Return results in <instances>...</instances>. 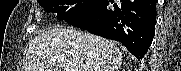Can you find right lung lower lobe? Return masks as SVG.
<instances>
[{"label": "right lung lower lobe", "instance_id": "98d812e1", "mask_svg": "<svg viewBox=\"0 0 181 71\" xmlns=\"http://www.w3.org/2000/svg\"><path fill=\"white\" fill-rule=\"evenodd\" d=\"M158 0H96L87 10L65 19L90 33L120 41L140 60L155 34Z\"/></svg>", "mask_w": 181, "mask_h": 71}]
</instances>
